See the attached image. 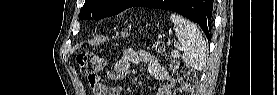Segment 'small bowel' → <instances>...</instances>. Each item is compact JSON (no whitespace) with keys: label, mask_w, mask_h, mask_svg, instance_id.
Masks as SVG:
<instances>
[{"label":"small bowel","mask_w":277,"mask_h":95,"mask_svg":"<svg viewBox=\"0 0 277 95\" xmlns=\"http://www.w3.org/2000/svg\"><path fill=\"white\" fill-rule=\"evenodd\" d=\"M134 63H145L153 77L164 81L159 87L157 95H171V91L175 87L172 75L161 65L157 58L149 55L146 51H135L132 48H127L121 60L115 65L114 70L105 73V78L111 81L123 78L128 73L130 65ZM89 83L94 95H120V87L106 85L99 76L89 80Z\"/></svg>","instance_id":"c3829d8e"}]
</instances>
